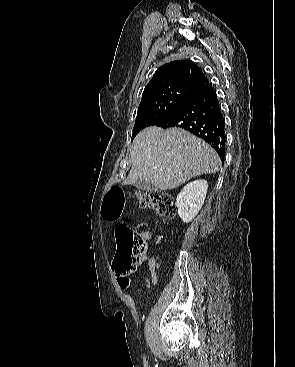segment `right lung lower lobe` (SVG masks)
I'll return each instance as SVG.
<instances>
[{"label":"right lung lower lobe","instance_id":"98d812e1","mask_svg":"<svg viewBox=\"0 0 295 367\" xmlns=\"http://www.w3.org/2000/svg\"><path fill=\"white\" fill-rule=\"evenodd\" d=\"M156 125L162 128L180 127L201 137L217 151L224 162V118L214 88L209 83L196 90Z\"/></svg>","mask_w":295,"mask_h":367}]
</instances>
